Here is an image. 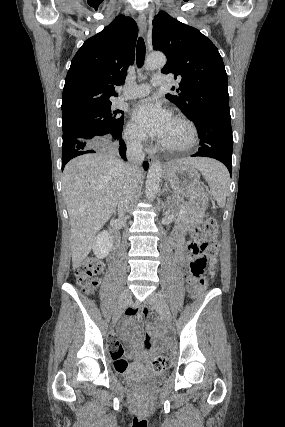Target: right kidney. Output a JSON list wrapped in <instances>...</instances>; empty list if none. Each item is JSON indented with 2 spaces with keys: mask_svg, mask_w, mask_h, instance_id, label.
<instances>
[{
  "mask_svg": "<svg viewBox=\"0 0 285 427\" xmlns=\"http://www.w3.org/2000/svg\"><path fill=\"white\" fill-rule=\"evenodd\" d=\"M113 240L106 231H102L95 239L93 251L97 258H105L111 251Z\"/></svg>",
  "mask_w": 285,
  "mask_h": 427,
  "instance_id": "ca27d5eb",
  "label": "right kidney"
}]
</instances>
